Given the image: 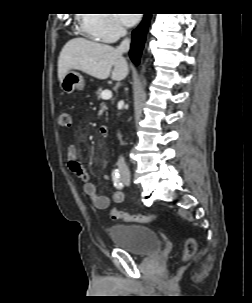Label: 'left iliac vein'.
<instances>
[{
  "label": "left iliac vein",
  "mask_w": 252,
  "mask_h": 303,
  "mask_svg": "<svg viewBox=\"0 0 252 303\" xmlns=\"http://www.w3.org/2000/svg\"><path fill=\"white\" fill-rule=\"evenodd\" d=\"M123 183H124L126 186H129V185H130V181H129V180H125L124 178H123Z\"/></svg>",
  "instance_id": "obj_1"
}]
</instances>
